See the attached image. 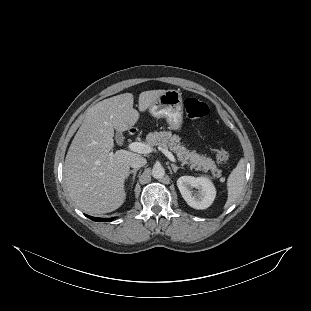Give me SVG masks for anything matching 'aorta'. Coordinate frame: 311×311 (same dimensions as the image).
<instances>
[{"label":"aorta","mask_w":311,"mask_h":311,"mask_svg":"<svg viewBox=\"0 0 311 311\" xmlns=\"http://www.w3.org/2000/svg\"><path fill=\"white\" fill-rule=\"evenodd\" d=\"M165 176V170L161 165H155L152 169V177L154 179H161Z\"/></svg>","instance_id":"obj_1"}]
</instances>
